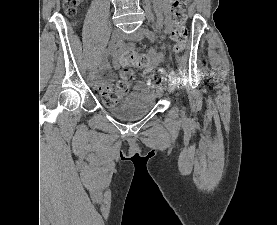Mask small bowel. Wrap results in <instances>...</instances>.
<instances>
[{
	"mask_svg": "<svg viewBox=\"0 0 277 225\" xmlns=\"http://www.w3.org/2000/svg\"><path fill=\"white\" fill-rule=\"evenodd\" d=\"M153 2H154V6H155V11L157 14L158 23L161 24L162 19L165 18L166 31H169L172 27L171 12H170L172 0H153ZM113 56H114L113 65L115 68H119L120 63L118 60V54L114 53ZM149 57L151 59V63L148 67V71L154 70L163 61L162 54L153 49L149 50ZM109 72H110L109 63H106V62L102 63L99 67V73L102 78V84L110 81L111 77L109 76ZM138 87H142V85H140Z\"/></svg>",
	"mask_w": 277,
	"mask_h": 225,
	"instance_id": "small-bowel-1",
	"label": "small bowel"
}]
</instances>
